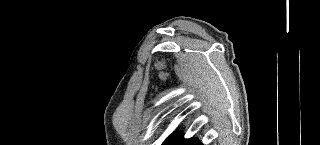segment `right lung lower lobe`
<instances>
[{
	"mask_svg": "<svg viewBox=\"0 0 320 145\" xmlns=\"http://www.w3.org/2000/svg\"><path fill=\"white\" fill-rule=\"evenodd\" d=\"M168 145H202L197 139H184L181 135L171 140Z\"/></svg>",
	"mask_w": 320,
	"mask_h": 145,
	"instance_id": "1",
	"label": "right lung lower lobe"
}]
</instances>
